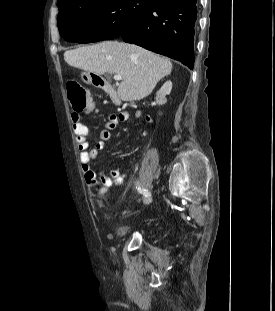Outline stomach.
<instances>
[{"instance_id":"obj_1","label":"stomach","mask_w":275,"mask_h":311,"mask_svg":"<svg viewBox=\"0 0 275 311\" xmlns=\"http://www.w3.org/2000/svg\"><path fill=\"white\" fill-rule=\"evenodd\" d=\"M89 72L85 71V72H82L81 73V79L85 82V83H88V84H92V82L90 81L89 79Z\"/></svg>"}]
</instances>
